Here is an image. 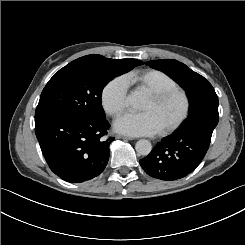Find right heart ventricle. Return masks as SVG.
I'll list each match as a JSON object with an SVG mask.
<instances>
[{
    "label": "right heart ventricle",
    "mask_w": 245,
    "mask_h": 245,
    "mask_svg": "<svg viewBox=\"0 0 245 245\" xmlns=\"http://www.w3.org/2000/svg\"><path fill=\"white\" fill-rule=\"evenodd\" d=\"M128 87L145 92L149 88L168 89L178 87L176 81L163 71L151 68H137L125 73L121 78Z\"/></svg>",
    "instance_id": "e07e8e85"
}]
</instances>
